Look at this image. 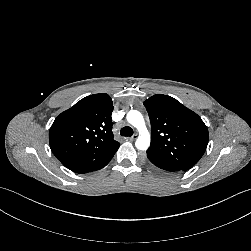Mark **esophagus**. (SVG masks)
I'll return each mask as SVG.
<instances>
[{"instance_id":"1","label":"esophagus","mask_w":251,"mask_h":251,"mask_svg":"<svg viewBox=\"0 0 251 251\" xmlns=\"http://www.w3.org/2000/svg\"><path fill=\"white\" fill-rule=\"evenodd\" d=\"M137 138V134H134L133 136L127 138L129 141H134Z\"/></svg>"}]
</instances>
